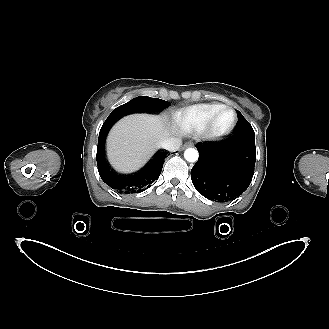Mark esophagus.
<instances>
[{
  "label": "esophagus",
  "instance_id": "1",
  "mask_svg": "<svg viewBox=\"0 0 329 329\" xmlns=\"http://www.w3.org/2000/svg\"><path fill=\"white\" fill-rule=\"evenodd\" d=\"M190 146H192L191 143H186V144H184V145L182 146V149H185V148L190 147Z\"/></svg>",
  "mask_w": 329,
  "mask_h": 329
}]
</instances>
